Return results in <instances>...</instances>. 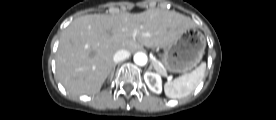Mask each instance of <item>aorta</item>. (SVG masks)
Wrapping results in <instances>:
<instances>
[{
  "instance_id": "obj_1",
  "label": "aorta",
  "mask_w": 276,
  "mask_h": 120,
  "mask_svg": "<svg viewBox=\"0 0 276 120\" xmlns=\"http://www.w3.org/2000/svg\"><path fill=\"white\" fill-rule=\"evenodd\" d=\"M147 55L143 52H137L134 55V62L135 64L139 65V66H144L147 63Z\"/></svg>"
}]
</instances>
